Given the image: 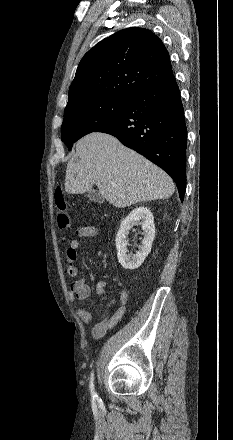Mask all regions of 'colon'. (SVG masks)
Wrapping results in <instances>:
<instances>
[{
	"instance_id": "obj_1",
	"label": "colon",
	"mask_w": 233,
	"mask_h": 440,
	"mask_svg": "<svg viewBox=\"0 0 233 440\" xmlns=\"http://www.w3.org/2000/svg\"><path fill=\"white\" fill-rule=\"evenodd\" d=\"M55 204L57 208L56 222L59 229H67L70 227V217L67 212V203L61 188H57L55 192Z\"/></svg>"
}]
</instances>
